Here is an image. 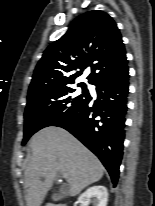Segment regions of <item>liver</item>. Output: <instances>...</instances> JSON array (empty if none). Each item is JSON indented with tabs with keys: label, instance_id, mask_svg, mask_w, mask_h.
Masks as SVG:
<instances>
[{
	"label": "liver",
	"instance_id": "1",
	"mask_svg": "<svg viewBox=\"0 0 155 206\" xmlns=\"http://www.w3.org/2000/svg\"><path fill=\"white\" fill-rule=\"evenodd\" d=\"M30 147L32 157L25 169L27 206L42 204L58 172L67 179L65 193L70 196L78 195L103 176L99 159L62 128L50 126L38 131Z\"/></svg>",
	"mask_w": 155,
	"mask_h": 206
}]
</instances>
